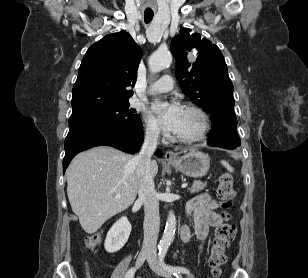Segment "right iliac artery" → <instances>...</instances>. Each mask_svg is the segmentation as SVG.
Instances as JSON below:
<instances>
[{
	"instance_id": "82829eb1",
	"label": "right iliac artery",
	"mask_w": 308,
	"mask_h": 278,
	"mask_svg": "<svg viewBox=\"0 0 308 278\" xmlns=\"http://www.w3.org/2000/svg\"><path fill=\"white\" fill-rule=\"evenodd\" d=\"M134 274H135V268H130L126 273L125 278H133Z\"/></svg>"
}]
</instances>
